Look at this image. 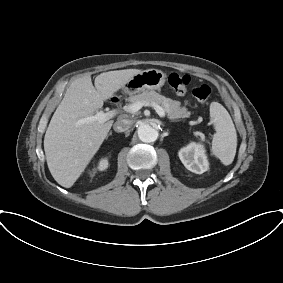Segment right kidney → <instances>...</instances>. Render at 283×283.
<instances>
[{"label": "right kidney", "mask_w": 283, "mask_h": 283, "mask_svg": "<svg viewBox=\"0 0 283 283\" xmlns=\"http://www.w3.org/2000/svg\"><path fill=\"white\" fill-rule=\"evenodd\" d=\"M108 167V160L107 159H101L97 169L100 171L105 170Z\"/></svg>", "instance_id": "right-kidney-1"}]
</instances>
